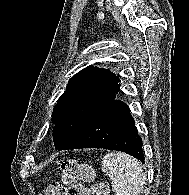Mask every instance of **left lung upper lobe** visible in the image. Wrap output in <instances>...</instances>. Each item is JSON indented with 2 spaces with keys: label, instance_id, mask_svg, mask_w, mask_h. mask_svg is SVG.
Masks as SVG:
<instances>
[{
  "label": "left lung upper lobe",
  "instance_id": "obj_1",
  "mask_svg": "<svg viewBox=\"0 0 189 195\" xmlns=\"http://www.w3.org/2000/svg\"><path fill=\"white\" fill-rule=\"evenodd\" d=\"M119 78L107 69H82L68 82L67 89L57 100L52 113L55 147L65 141L82 123L89 119L119 91Z\"/></svg>",
  "mask_w": 189,
  "mask_h": 195
}]
</instances>
